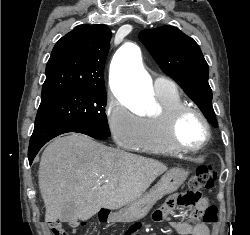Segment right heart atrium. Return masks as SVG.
Masks as SVG:
<instances>
[{
    "label": "right heart atrium",
    "mask_w": 250,
    "mask_h": 235,
    "mask_svg": "<svg viewBox=\"0 0 250 235\" xmlns=\"http://www.w3.org/2000/svg\"><path fill=\"white\" fill-rule=\"evenodd\" d=\"M105 117L114 141L126 149H136L143 136V119L115 97L108 98Z\"/></svg>",
    "instance_id": "d8ad5b80"
}]
</instances>
